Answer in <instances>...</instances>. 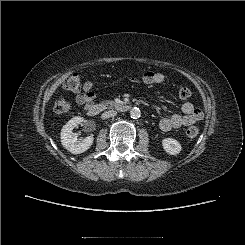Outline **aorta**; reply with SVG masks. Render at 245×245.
I'll list each match as a JSON object with an SVG mask.
<instances>
[{
  "instance_id": "762f6f07",
  "label": "aorta",
  "mask_w": 245,
  "mask_h": 245,
  "mask_svg": "<svg viewBox=\"0 0 245 245\" xmlns=\"http://www.w3.org/2000/svg\"><path fill=\"white\" fill-rule=\"evenodd\" d=\"M130 116H131V118H133V119L139 118V117L141 116V111H140V109L137 108V107L132 108V109L130 110Z\"/></svg>"
}]
</instances>
